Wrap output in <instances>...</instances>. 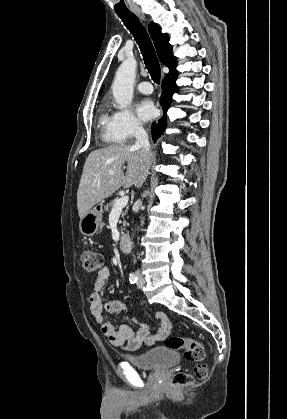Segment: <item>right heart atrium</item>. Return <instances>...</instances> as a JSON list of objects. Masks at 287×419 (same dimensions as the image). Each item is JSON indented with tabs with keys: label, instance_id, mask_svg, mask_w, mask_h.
<instances>
[{
	"label": "right heart atrium",
	"instance_id": "obj_1",
	"mask_svg": "<svg viewBox=\"0 0 287 419\" xmlns=\"http://www.w3.org/2000/svg\"><path fill=\"white\" fill-rule=\"evenodd\" d=\"M114 127L123 141H130L140 135L144 128L142 122L129 108L118 109L113 113Z\"/></svg>",
	"mask_w": 287,
	"mask_h": 419
}]
</instances>
